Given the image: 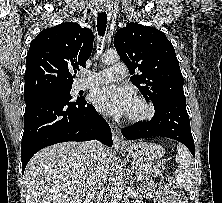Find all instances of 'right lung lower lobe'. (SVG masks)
I'll list each match as a JSON object with an SVG mask.
<instances>
[{
    "label": "right lung lower lobe",
    "mask_w": 222,
    "mask_h": 203,
    "mask_svg": "<svg viewBox=\"0 0 222 203\" xmlns=\"http://www.w3.org/2000/svg\"><path fill=\"white\" fill-rule=\"evenodd\" d=\"M97 139L112 146L108 123L84 98L44 97L26 103L21 144L22 171L39 150L60 142Z\"/></svg>",
    "instance_id": "obj_1"
}]
</instances>
